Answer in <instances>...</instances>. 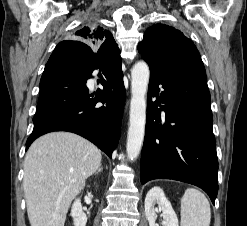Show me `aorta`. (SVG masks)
I'll use <instances>...</instances> for the list:
<instances>
[{
    "label": "aorta",
    "instance_id": "obj_1",
    "mask_svg": "<svg viewBox=\"0 0 247 226\" xmlns=\"http://www.w3.org/2000/svg\"><path fill=\"white\" fill-rule=\"evenodd\" d=\"M130 126L127 136V155L136 159L141 151L146 124V94L150 71L147 63L137 62L131 72Z\"/></svg>",
    "mask_w": 247,
    "mask_h": 226
}]
</instances>
